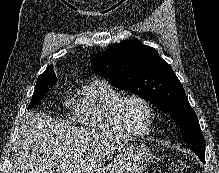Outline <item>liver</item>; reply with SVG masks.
<instances>
[{
  "mask_svg": "<svg viewBox=\"0 0 219 173\" xmlns=\"http://www.w3.org/2000/svg\"><path fill=\"white\" fill-rule=\"evenodd\" d=\"M122 140L30 111L13 147V173H95Z\"/></svg>",
  "mask_w": 219,
  "mask_h": 173,
  "instance_id": "obj_1",
  "label": "liver"
}]
</instances>
